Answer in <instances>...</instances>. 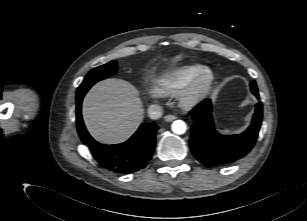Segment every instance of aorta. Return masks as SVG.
Segmentation results:
<instances>
[{
  "label": "aorta",
  "instance_id": "762f6f07",
  "mask_svg": "<svg viewBox=\"0 0 307 221\" xmlns=\"http://www.w3.org/2000/svg\"><path fill=\"white\" fill-rule=\"evenodd\" d=\"M171 129L175 134L181 135L184 134L187 130L186 123L182 120H175L172 125Z\"/></svg>",
  "mask_w": 307,
  "mask_h": 221
}]
</instances>
